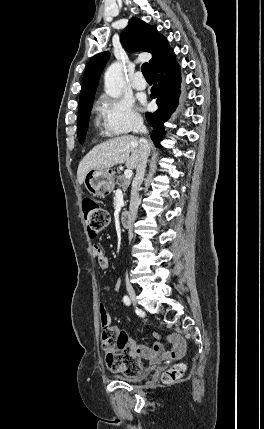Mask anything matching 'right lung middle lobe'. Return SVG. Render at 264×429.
<instances>
[{
  "label": "right lung middle lobe",
  "mask_w": 264,
  "mask_h": 429,
  "mask_svg": "<svg viewBox=\"0 0 264 429\" xmlns=\"http://www.w3.org/2000/svg\"><path fill=\"white\" fill-rule=\"evenodd\" d=\"M92 103L93 102H90L78 107V139L81 144H83L85 140V135L88 129Z\"/></svg>",
  "instance_id": "obj_1"
}]
</instances>
